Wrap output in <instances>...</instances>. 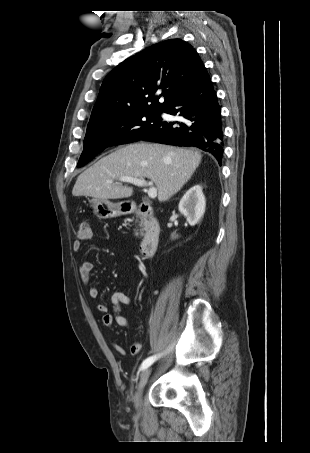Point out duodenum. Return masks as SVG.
Masks as SVG:
<instances>
[{"label": "duodenum", "instance_id": "410a0bca", "mask_svg": "<svg viewBox=\"0 0 310 453\" xmlns=\"http://www.w3.org/2000/svg\"><path fill=\"white\" fill-rule=\"evenodd\" d=\"M124 214H136L144 220L145 232L140 243V253L145 257L152 256L158 246L161 228L159 221L154 216V210L149 203H142L138 206H129L123 210Z\"/></svg>", "mask_w": 310, "mask_h": 453}]
</instances>
